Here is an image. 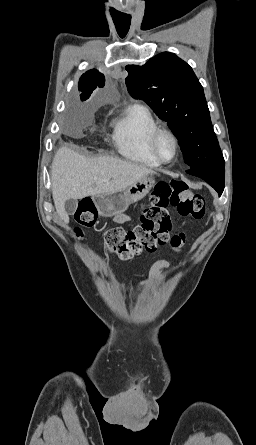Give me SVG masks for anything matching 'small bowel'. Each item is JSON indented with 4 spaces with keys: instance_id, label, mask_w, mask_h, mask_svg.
<instances>
[{
    "instance_id": "small-bowel-1",
    "label": "small bowel",
    "mask_w": 256,
    "mask_h": 445,
    "mask_svg": "<svg viewBox=\"0 0 256 445\" xmlns=\"http://www.w3.org/2000/svg\"><path fill=\"white\" fill-rule=\"evenodd\" d=\"M185 234L184 233H177L174 234L169 241V247L176 253L182 252V247L185 242ZM170 266V262L167 260H158L156 261L150 270V276L147 280L142 281L140 285H145L148 283H154L156 285H162L164 281V277L162 276L161 272L165 269H167Z\"/></svg>"
}]
</instances>
